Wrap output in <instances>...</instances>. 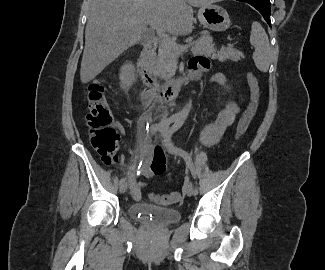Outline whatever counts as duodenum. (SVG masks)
Listing matches in <instances>:
<instances>
[{
    "mask_svg": "<svg viewBox=\"0 0 325 270\" xmlns=\"http://www.w3.org/2000/svg\"><path fill=\"white\" fill-rule=\"evenodd\" d=\"M156 47V41H151L144 46L141 57L137 62V68L141 74L145 90L148 93L145 100L147 101L149 98H152L159 103L167 104L177 97L182 85L187 81V77H179L160 86L156 81L153 71Z\"/></svg>",
    "mask_w": 325,
    "mask_h": 270,
    "instance_id": "410a0bca",
    "label": "duodenum"
}]
</instances>
